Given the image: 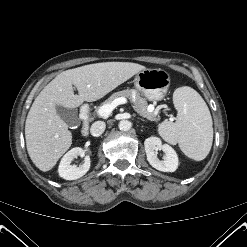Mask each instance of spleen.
<instances>
[{"label":"spleen","mask_w":247,"mask_h":247,"mask_svg":"<svg viewBox=\"0 0 247 247\" xmlns=\"http://www.w3.org/2000/svg\"><path fill=\"white\" fill-rule=\"evenodd\" d=\"M177 110L176 122L163 121L160 135L169 143L179 145L181 151L195 161L209 154L213 142L212 117L208 106L193 88L182 86L173 93Z\"/></svg>","instance_id":"3e777b00"}]
</instances>
